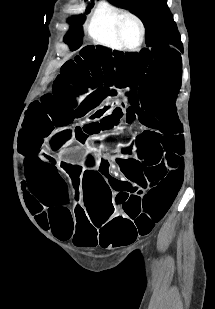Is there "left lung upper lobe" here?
I'll return each instance as SVG.
<instances>
[{"mask_svg": "<svg viewBox=\"0 0 215 309\" xmlns=\"http://www.w3.org/2000/svg\"><path fill=\"white\" fill-rule=\"evenodd\" d=\"M135 12L146 28V45L182 46L180 34L169 12L166 0H110Z\"/></svg>", "mask_w": 215, "mask_h": 309, "instance_id": "5c2ea615", "label": "left lung upper lobe"}]
</instances>
